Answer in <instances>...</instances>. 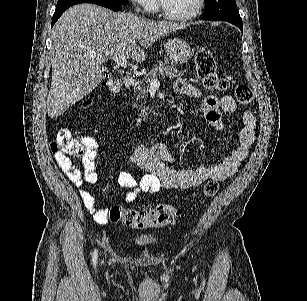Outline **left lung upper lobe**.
Wrapping results in <instances>:
<instances>
[{"label":"left lung upper lobe","mask_w":307,"mask_h":301,"mask_svg":"<svg viewBox=\"0 0 307 301\" xmlns=\"http://www.w3.org/2000/svg\"><path fill=\"white\" fill-rule=\"evenodd\" d=\"M203 20L242 22L235 0H205Z\"/></svg>","instance_id":"obj_1"}]
</instances>
